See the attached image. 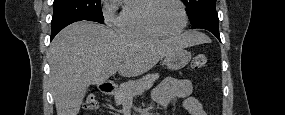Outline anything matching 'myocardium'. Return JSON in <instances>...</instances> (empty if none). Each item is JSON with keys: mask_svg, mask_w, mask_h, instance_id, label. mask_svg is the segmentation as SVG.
<instances>
[{"mask_svg": "<svg viewBox=\"0 0 285 115\" xmlns=\"http://www.w3.org/2000/svg\"><path fill=\"white\" fill-rule=\"evenodd\" d=\"M162 1H165V0H152L150 2V4L147 7L146 14H145L146 22H147L148 26L154 32H156L157 34H159L161 36H167V37L178 36L185 31V29L187 28V25H188V14H187L186 7L181 0H171V1H174L175 3H177L179 5L181 12H182L183 22H182L181 27L177 31L167 32V31H164L163 29H161L156 24V22L154 21V18H153V13H154L157 5Z\"/></svg>", "mask_w": 285, "mask_h": 115, "instance_id": "1", "label": "myocardium"}]
</instances>
